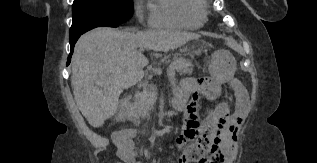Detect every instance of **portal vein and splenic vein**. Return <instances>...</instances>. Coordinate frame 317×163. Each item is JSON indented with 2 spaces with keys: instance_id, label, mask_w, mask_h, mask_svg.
<instances>
[{
  "instance_id": "18ae733b",
  "label": "portal vein and splenic vein",
  "mask_w": 317,
  "mask_h": 163,
  "mask_svg": "<svg viewBox=\"0 0 317 163\" xmlns=\"http://www.w3.org/2000/svg\"><path fill=\"white\" fill-rule=\"evenodd\" d=\"M168 72H169L170 76H174L175 75V71L169 70Z\"/></svg>"
}]
</instances>
